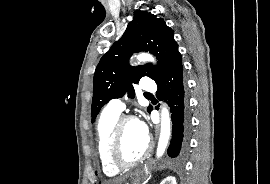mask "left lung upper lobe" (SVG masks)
Here are the masks:
<instances>
[{
    "mask_svg": "<svg viewBox=\"0 0 270 184\" xmlns=\"http://www.w3.org/2000/svg\"><path fill=\"white\" fill-rule=\"evenodd\" d=\"M149 51L158 59V65L147 63L132 67L128 60L132 52ZM178 51L174 31L163 18L146 11H136L133 20L118 42L100 59L95 73L91 106L92 121L95 120L103 105L113 98L122 97L126 92L134 97L132 83L143 76L157 81L166 71ZM148 112L152 107H148Z\"/></svg>",
    "mask_w": 270,
    "mask_h": 184,
    "instance_id": "1",
    "label": "left lung upper lobe"
}]
</instances>
